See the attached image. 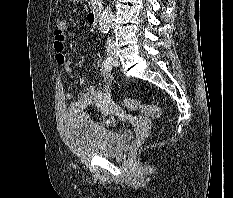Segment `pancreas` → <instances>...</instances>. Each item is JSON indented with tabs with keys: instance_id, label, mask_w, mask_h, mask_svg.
I'll list each match as a JSON object with an SVG mask.
<instances>
[{
	"instance_id": "pancreas-1",
	"label": "pancreas",
	"mask_w": 233,
	"mask_h": 198,
	"mask_svg": "<svg viewBox=\"0 0 233 198\" xmlns=\"http://www.w3.org/2000/svg\"><path fill=\"white\" fill-rule=\"evenodd\" d=\"M102 1L103 0H89V5L92 9H95L102 4Z\"/></svg>"
}]
</instances>
